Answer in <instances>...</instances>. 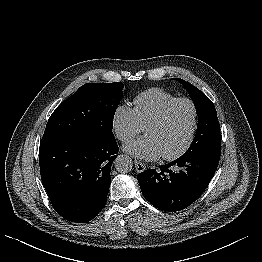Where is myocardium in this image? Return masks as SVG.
Segmentation results:
<instances>
[{"label": "myocardium", "mask_w": 262, "mask_h": 262, "mask_svg": "<svg viewBox=\"0 0 262 262\" xmlns=\"http://www.w3.org/2000/svg\"><path fill=\"white\" fill-rule=\"evenodd\" d=\"M181 102H186L188 103L193 110V120H192V126H191V130L189 133V136L187 138V141L185 142V144L175 153L170 154V155H162V158L164 160L167 161H172V160H176L178 158H180L181 156H183L191 147L194 138H195V134L197 131V127H198V118H199V112H198V107L196 105V103L190 99V98H186V97H181V98H177L175 100H173L172 102L168 103L161 111L160 113L146 126V128L148 127H153V126H159L161 125L167 118L169 112L171 111V109L177 105L178 103Z\"/></svg>", "instance_id": "obj_1"}]
</instances>
